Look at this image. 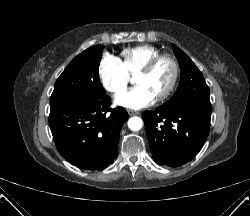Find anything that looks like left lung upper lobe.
<instances>
[{"label": "left lung upper lobe", "instance_id": "1", "mask_svg": "<svg viewBox=\"0 0 250 216\" xmlns=\"http://www.w3.org/2000/svg\"><path fill=\"white\" fill-rule=\"evenodd\" d=\"M173 50L180 64V83L173 97L161 107L173 110L187 105H200L211 109L210 90L202 73L180 48L173 45Z\"/></svg>", "mask_w": 250, "mask_h": 216}]
</instances>
